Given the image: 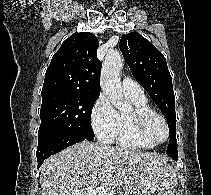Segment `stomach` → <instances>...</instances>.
Wrapping results in <instances>:
<instances>
[{
  "label": "stomach",
  "mask_w": 211,
  "mask_h": 195,
  "mask_svg": "<svg viewBox=\"0 0 211 195\" xmlns=\"http://www.w3.org/2000/svg\"><path fill=\"white\" fill-rule=\"evenodd\" d=\"M164 182L163 184H160V193L158 195H175L174 194V185L176 183V175L173 171V169L168 172V176H166L164 178ZM133 195H145L142 192L138 193V192H132Z\"/></svg>",
  "instance_id": "0dacf381"
}]
</instances>
